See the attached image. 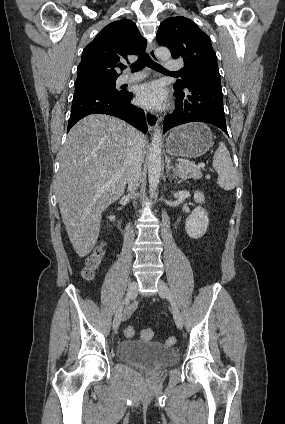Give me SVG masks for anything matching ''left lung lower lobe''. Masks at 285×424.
Masks as SVG:
<instances>
[{
    "instance_id": "obj_1",
    "label": "left lung lower lobe",
    "mask_w": 285,
    "mask_h": 424,
    "mask_svg": "<svg viewBox=\"0 0 285 424\" xmlns=\"http://www.w3.org/2000/svg\"><path fill=\"white\" fill-rule=\"evenodd\" d=\"M174 89L176 109L165 117L164 132L184 123L206 122L228 135L220 79L201 78L190 82L184 89Z\"/></svg>"
}]
</instances>
